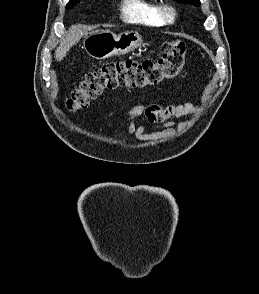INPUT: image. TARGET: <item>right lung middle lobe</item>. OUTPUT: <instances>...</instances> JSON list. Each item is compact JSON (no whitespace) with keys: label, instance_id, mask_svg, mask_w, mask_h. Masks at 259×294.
Segmentation results:
<instances>
[{"label":"right lung middle lobe","instance_id":"right-lung-middle-lobe-1","mask_svg":"<svg viewBox=\"0 0 259 294\" xmlns=\"http://www.w3.org/2000/svg\"><path fill=\"white\" fill-rule=\"evenodd\" d=\"M80 0H70L69 3L67 4L66 8L67 9H72L74 6H76Z\"/></svg>","mask_w":259,"mask_h":294}]
</instances>
